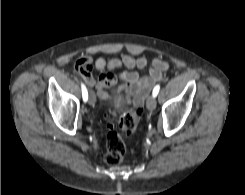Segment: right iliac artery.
I'll return each instance as SVG.
<instances>
[{
  "mask_svg": "<svg viewBox=\"0 0 245 195\" xmlns=\"http://www.w3.org/2000/svg\"><path fill=\"white\" fill-rule=\"evenodd\" d=\"M81 89L83 100L86 102L88 100V91L83 83H81Z\"/></svg>",
  "mask_w": 245,
  "mask_h": 195,
  "instance_id": "82829eb1",
  "label": "right iliac artery"
}]
</instances>
